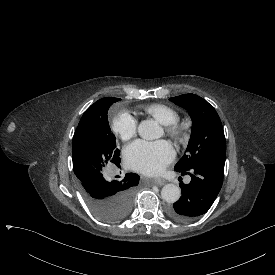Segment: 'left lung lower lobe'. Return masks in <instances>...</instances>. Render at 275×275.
I'll return each instance as SVG.
<instances>
[{
  "mask_svg": "<svg viewBox=\"0 0 275 275\" xmlns=\"http://www.w3.org/2000/svg\"><path fill=\"white\" fill-rule=\"evenodd\" d=\"M175 171L189 174V184L181 182V198L168 207L167 214L176 221H189L205 214L216 199L222 183L224 167L213 164L198 165L188 171Z\"/></svg>",
  "mask_w": 275,
  "mask_h": 275,
  "instance_id": "obj_1",
  "label": "left lung lower lobe"
}]
</instances>
